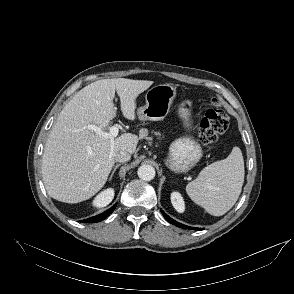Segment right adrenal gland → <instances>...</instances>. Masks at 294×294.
Masks as SVG:
<instances>
[{"label": "right adrenal gland", "instance_id": "1", "mask_svg": "<svg viewBox=\"0 0 294 294\" xmlns=\"http://www.w3.org/2000/svg\"><path fill=\"white\" fill-rule=\"evenodd\" d=\"M121 166V164H117V165H115L114 166V168H113V171L111 172V175H110V178H109V180H111L112 179V177H113V175H114V173H115V171L117 170V168L118 167H120Z\"/></svg>", "mask_w": 294, "mask_h": 294}]
</instances>
